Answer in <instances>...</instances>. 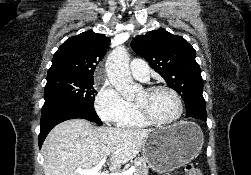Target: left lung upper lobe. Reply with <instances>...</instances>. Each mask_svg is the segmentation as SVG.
I'll return each instance as SVG.
<instances>
[{"instance_id": "5c2ea615", "label": "left lung upper lobe", "mask_w": 251, "mask_h": 175, "mask_svg": "<svg viewBox=\"0 0 251 175\" xmlns=\"http://www.w3.org/2000/svg\"><path fill=\"white\" fill-rule=\"evenodd\" d=\"M131 46L182 96L185 104L205 103L196 52L183 37L161 28L135 37Z\"/></svg>"}]
</instances>
